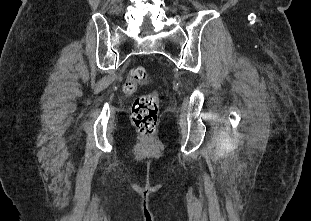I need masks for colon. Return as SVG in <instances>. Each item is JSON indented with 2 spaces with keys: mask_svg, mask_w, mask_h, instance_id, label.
I'll list each match as a JSON object with an SVG mask.
<instances>
[{
  "mask_svg": "<svg viewBox=\"0 0 311 221\" xmlns=\"http://www.w3.org/2000/svg\"><path fill=\"white\" fill-rule=\"evenodd\" d=\"M147 74L142 66L131 69L126 77L123 91L131 95L145 83ZM159 98L155 93L137 97L132 108V123L134 127L143 135L151 139V135L156 127L158 120Z\"/></svg>",
  "mask_w": 311,
  "mask_h": 221,
  "instance_id": "obj_1",
  "label": "colon"
}]
</instances>
